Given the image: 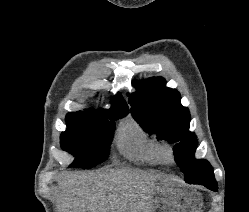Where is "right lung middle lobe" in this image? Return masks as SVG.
I'll list each match as a JSON object with an SVG mask.
<instances>
[{"label":"right lung middle lobe","mask_w":249,"mask_h":212,"mask_svg":"<svg viewBox=\"0 0 249 212\" xmlns=\"http://www.w3.org/2000/svg\"><path fill=\"white\" fill-rule=\"evenodd\" d=\"M128 112L94 110L66 115L67 130L61 134V147L75 156L71 167L92 168L107 160L115 131V120Z\"/></svg>","instance_id":"obj_1"}]
</instances>
